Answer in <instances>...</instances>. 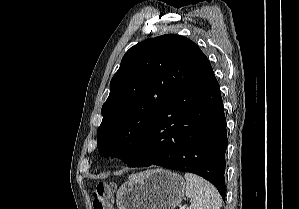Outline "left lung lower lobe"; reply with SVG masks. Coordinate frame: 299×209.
Here are the masks:
<instances>
[{
  "label": "left lung lower lobe",
  "instance_id": "1",
  "mask_svg": "<svg viewBox=\"0 0 299 209\" xmlns=\"http://www.w3.org/2000/svg\"><path fill=\"white\" fill-rule=\"evenodd\" d=\"M226 120L210 63L164 103L129 167L192 172L210 181L225 200Z\"/></svg>",
  "mask_w": 299,
  "mask_h": 209
}]
</instances>
